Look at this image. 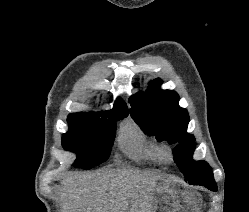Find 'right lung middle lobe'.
Returning <instances> with one entry per match:
<instances>
[{
    "instance_id": "obj_1",
    "label": "right lung middle lobe",
    "mask_w": 249,
    "mask_h": 212,
    "mask_svg": "<svg viewBox=\"0 0 249 212\" xmlns=\"http://www.w3.org/2000/svg\"><path fill=\"white\" fill-rule=\"evenodd\" d=\"M127 115L128 112L122 110L70 114L69 131L63 134L62 145L65 150L77 153L73 166L91 169L107 161L115 137L116 121Z\"/></svg>"
}]
</instances>
